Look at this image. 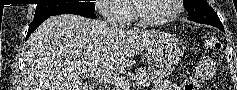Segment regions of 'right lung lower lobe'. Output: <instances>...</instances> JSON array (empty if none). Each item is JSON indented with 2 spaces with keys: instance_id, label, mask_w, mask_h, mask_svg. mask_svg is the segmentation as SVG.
<instances>
[{
  "instance_id": "obj_1",
  "label": "right lung lower lobe",
  "mask_w": 237,
  "mask_h": 90,
  "mask_svg": "<svg viewBox=\"0 0 237 90\" xmlns=\"http://www.w3.org/2000/svg\"><path fill=\"white\" fill-rule=\"evenodd\" d=\"M59 14H77V15H81L87 18H96V15L94 12L91 11H86V10H69V11H65V12H61V13H57L54 15H59ZM54 15H50V16H54ZM50 16H46V17H42L39 19H34L31 24L29 25V29H28V33L26 36V40L29 38V36L31 35V33L43 22L45 21L47 18H49Z\"/></svg>"
}]
</instances>
